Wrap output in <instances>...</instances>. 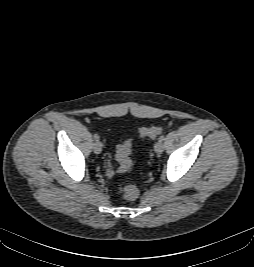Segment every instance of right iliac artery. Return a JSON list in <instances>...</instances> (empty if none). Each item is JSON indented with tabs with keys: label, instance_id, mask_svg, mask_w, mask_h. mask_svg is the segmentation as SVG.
I'll return each mask as SVG.
<instances>
[{
	"label": "right iliac artery",
	"instance_id": "right-iliac-artery-1",
	"mask_svg": "<svg viewBox=\"0 0 254 267\" xmlns=\"http://www.w3.org/2000/svg\"><path fill=\"white\" fill-rule=\"evenodd\" d=\"M94 139H95L96 141H98V140H99V135H98V134H94Z\"/></svg>",
	"mask_w": 254,
	"mask_h": 267
}]
</instances>
